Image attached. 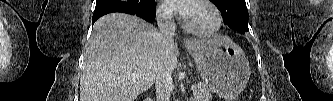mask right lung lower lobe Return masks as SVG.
<instances>
[{
    "label": "right lung lower lobe",
    "mask_w": 333,
    "mask_h": 101,
    "mask_svg": "<svg viewBox=\"0 0 333 101\" xmlns=\"http://www.w3.org/2000/svg\"><path fill=\"white\" fill-rule=\"evenodd\" d=\"M155 10V0H96L92 23L112 12L137 15L152 22L155 20Z\"/></svg>",
    "instance_id": "1"
}]
</instances>
